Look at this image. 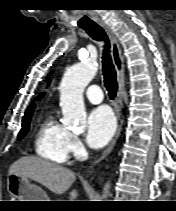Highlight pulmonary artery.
Returning <instances> with one entry per match:
<instances>
[{
    "mask_svg": "<svg viewBox=\"0 0 176 211\" xmlns=\"http://www.w3.org/2000/svg\"><path fill=\"white\" fill-rule=\"evenodd\" d=\"M85 96L93 104H99L103 101L102 91L97 85L89 86L85 92Z\"/></svg>",
    "mask_w": 176,
    "mask_h": 211,
    "instance_id": "1",
    "label": "pulmonary artery"
}]
</instances>
